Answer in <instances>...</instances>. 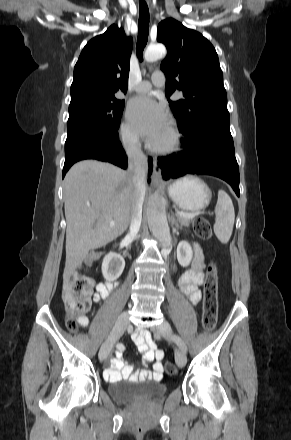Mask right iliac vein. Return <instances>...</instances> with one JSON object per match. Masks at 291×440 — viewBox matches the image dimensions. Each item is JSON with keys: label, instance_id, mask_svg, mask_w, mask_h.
Wrapping results in <instances>:
<instances>
[{"label": "right iliac vein", "instance_id": "1", "mask_svg": "<svg viewBox=\"0 0 291 440\" xmlns=\"http://www.w3.org/2000/svg\"><path fill=\"white\" fill-rule=\"evenodd\" d=\"M129 320H128V313L123 312L117 319L114 328L112 332L110 333L109 337L106 339V341L102 344L100 351H99V359L104 360L107 358L108 354L110 353L115 341L119 337V335L126 329L128 326Z\"/></svg>", "mask_w": 291, "mask_h": 440}]
</instances>
